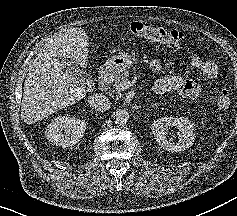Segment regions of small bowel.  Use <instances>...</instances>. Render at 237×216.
I'll return each mask as SVG.
<instances>
[{
    "label": "small bowel",
    "instance_id": "obj_1",
    "mask_svg": "<svg viewBox=\"0 0 237 216\" xmlns=\"http://www.w3.org/2000/svg\"><path fill=\"white\" fill-rule=\"evenodd\" d=\"M189 58L191 65L203 76L213 78L217 75L218 67L213 61L204 60L193 51L189 52ZM150 69L155 73H162L163 65L158 59H154L150 62ZM154 88L161 93L178 91L184 97L193 99L201 94L199 82L179 74L164 75L155 82Z\"/></svg>",
    "mask_w": 237,
    "mask_h": 216
}]
</instances>
